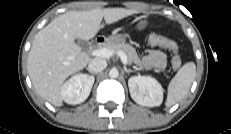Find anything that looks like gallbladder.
Masks as SVG:
<instances>
[{"instance_id":"obj_1","label":"gallbladder","mask_w":231,"mask_h":134,"mask_svg":"<svg viewBox=\"0 0 231 134\" xmlns=\"http://www.w3.org/2000/svg\"><path fill=\"white\" fill-rule=\"evenodd\" d=\"M76 42L82 49H86L88 47V43L85 40L77 39Z\"/></svg>"}]
</instances>
